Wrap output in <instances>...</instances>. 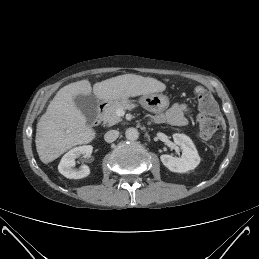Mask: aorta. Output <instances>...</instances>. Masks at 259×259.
Segmentation results:
<instances>
[{
    "instance_id": "762f6f07",
    "label": "aorta",
    "mask_w": 259,
    "mask_h": 259,
    "mask_svg": "<svg viewBox=\"0 0 259 259\" xmlns=\"http://www.w3.org/2000/svg\"><path fill=\"white\" fill-rule=\"evenodd\" d=\"M125 136L128 140L134 141L139 138V132L136 128H128L125 132Z\"/></svg>"
}]
</instances>
